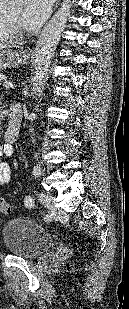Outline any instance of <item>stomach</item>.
<instances>
[{
  "label": "stomach",
  "instance_id": "1",
  "mask_svg": "<svg viewBox=\"0 0 129 309\" xmlns=\"http://www.w3.org/2000/svg\"><path fill=\"white\" fill-rule=\"evenodd\" d=\"M29 58L25 50L0 49V70L25 65Z\"/></svg>",
  "mask_w": 129,
  "mask_h": 309
}]
</instances>
